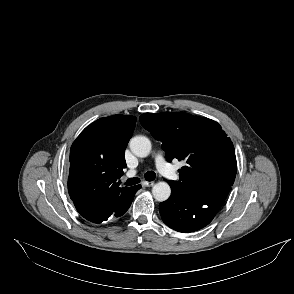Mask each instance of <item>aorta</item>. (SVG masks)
Returning a JSON list of instances; mask_svg holds the SVG:
<instances>
[{
	"label": "aorta",
	"mask_w": 294,
	"mask_h": 294,
	"mask_svg": "<svg viewBox=\"0 0 294 294\" xmlns=\"http://www.w3.org/2000/svg\"><path fill=\"white\" fill-rule=\"evenodd\" d=\"M130 149L137 157H146L151 151V142L145 136H135L130 140ZM153 197L159 201H166L171 194V188L168 183L160 181L152 188Z\"/></svg>",
	"instance_id": "762f6f07"
}]
</instances>
